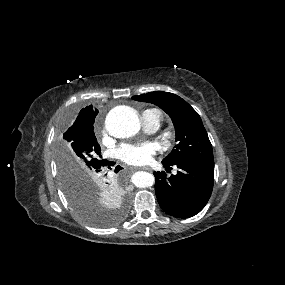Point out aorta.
Here are the masks:
<instances>
[{
  "label": "aorta",
  "mask_w": 285,
  "mask_h": 285,
  "mask_svg": "<svg viewBox=\"0 0 285 285\" xmlns=\"http://www.w3.org/2000/svg\"><path fill=\"white\" fill-rule=\"evenodd\" d=\"M105 127L116 138L134 136L140 129L138 113L129 106H117L106 116ZM131 181L136 187L146 188L154 184L155 178L151 173L138 171L132 175Z\"/></svg>",
  "instance_id": "aorta-1"
}]
</instances>
